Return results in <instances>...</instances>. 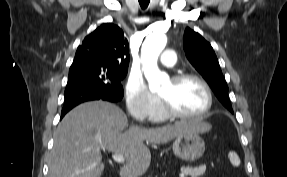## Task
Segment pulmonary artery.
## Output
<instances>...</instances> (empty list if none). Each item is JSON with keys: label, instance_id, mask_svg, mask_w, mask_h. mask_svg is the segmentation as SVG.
<instances>
[{"label": "pulmonary artery", "instance_id": "pulmonary-artery-1", "mask_svg": "<svg viewBox=\"0 0 287 177\" xmlns=\"http://www.w3.org/2000/svg\"><path fill=\"white\" fill-rule=\"evenodd\" d=\"M161 63L167 67H173L176 63L175 52L172 49H166L161 55Z\"/></svg>", "mask_w": 287, "mask_h": 177}]
</instances>
